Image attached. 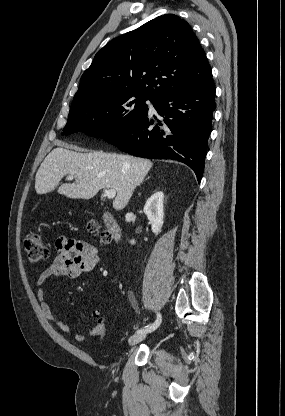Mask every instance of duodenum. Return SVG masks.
<instances>
[{
    "mask_svg": "<svg viewBox=\"0 0 285 416\" xmlns=\"http://www.w3.org/2000/svg\"><path fill=\"white\" fill-rule=\"evenodd\" d=\"M105 227L107 231L111 234L112 238L115 241H119L121 238V228L117 220L110 214H105L104 216Z\"/></svg>",
    "mask_w": 285,
    "mask_h": 416,
    "instance_id": "obj_1",
    "label": "duodenum"
}]
</instances>
